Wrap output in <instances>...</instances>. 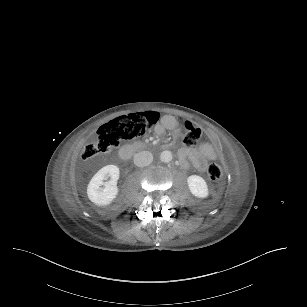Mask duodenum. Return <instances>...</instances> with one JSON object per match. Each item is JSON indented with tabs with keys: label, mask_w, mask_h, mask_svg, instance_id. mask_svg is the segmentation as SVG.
<instances>
[{
	"label": "duodenum",
	"mask_w": 307,
	"mask_h": 307,
	"mask_svg": "<svg viewBox=\"0 0 307 307\" xmlns=\"http://www.w3.org/2000/svg\"><path fill=\"white\" fill-rule=\"evenodd\" d=\"M147 147L146 142L144 141H133L130 143L125 144L123 147H121L117 155L119 159L126 160L133 152L143 149ZM178 158L181 159L180 155H178Z\"/></svg>",
	"instance_id": "410a0bca"
}]
</instances>
